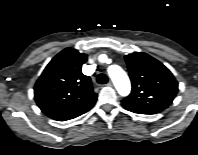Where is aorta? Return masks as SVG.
I'll return each instance as SVG.
<instances>
[{"mask_svg":"<svg viewBox=\"0 0 198 155\" xmlns=\"http://www.w3.org/2000/svg\"><path fill=\"white\" fill-rule=\"evenodd\" d=\"M108 74L112 79L118 93L126 96L130 93L131 85L126 72L118 65H112L108 68Z\"/></svg>","mask_w":198,"mask_h":155,"instance_id":"1","label":"aorta"}]
</instances>
